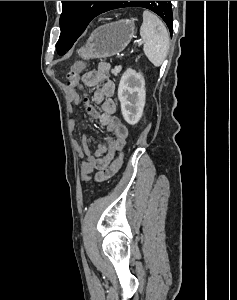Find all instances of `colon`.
<instances>
[{"instance_id":"1","label":"colon","mask_w":237,"mask_h":300,"mask_svg":"<svg viewBox=\"0 0 237 300\" xmlns=\"http://www.w3.org/2000/svg\"><path fill=\"white\" fill-rule=\"evenodd\" d=\"M86 63L79 61L74 63L68 74H67V83L69 86L76 87L79 84V73L85 68ZM92 179L90 174H82V180L88 182Z\"/></svg>"}]
</instances>
